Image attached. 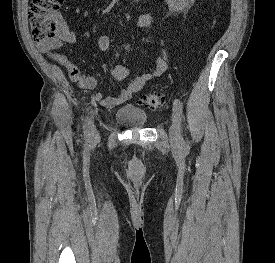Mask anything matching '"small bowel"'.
<instances>
[{"mask_svg":"<svg viewBox=\"0 0 275 263\" xmlns=\"http://www.w3.org/2000/svg\"><path fill=\"white\" fill-rule=\"evenodd\" d=\"M154 21L155 17L150 13H140L135 17L136 25L142 29L151 28ZM59 22L60 29L56 38L48 43L38 45L39 50L47 52L51 60L63 66L67 71L69 79L75 82L81 90L95 89L97 81L94 77L84 75L67 56L53 52V50L59 49L65 43H74L76 41V35L71 32L60 19ZM110 43V37L108 35H102L98 39V48L101 51H105L109 48ZM168 67L169 64L166 58L159 56L154 59V66L151 71L143 72L136 77L129 78V71L125 66L112 62L110 63V74L116 82L123 83L124 87L116 96L105 97L101 93H96L92 96V101L100 103L105 108L119 107L129 101L130 98L139 92L148 82L164 76Z\"/></svg>","mask_w":275,"mask_h":263,"instance_id":"c3829d8e","label":"small bowel"}]
</instances>
